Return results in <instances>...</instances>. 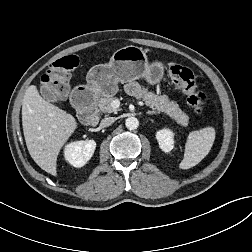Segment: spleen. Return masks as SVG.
I'll list each match as a JSON object with an SVG mask.
<instances>
[{"label": "spleen", "mask_w": 252, "mask_h": 252, "mask_svg": "<svg viewBox=\"0 0 252 252\" xmlns=\"http://www.w3.org/2000/svg\"><path fill=\"white\" fill-rule=\"evenodd\" d=\"M215 134L213 127L192 131L187 137L184 158L179 164V168L183 170L189 169L201 162L211 150Z\"/></svg>", "instance_id": "spleen-1"}]
</instances>
